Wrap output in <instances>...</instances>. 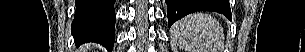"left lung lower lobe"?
Listing matches in <instances>:
<instances>
[{
  "instance_id": "obj_1",
  "label": "left lung lower lobe",
  "mask_w": 305,
  "mask_h": 52,
  "mask_svg": "<svg viewBox=\"0 0 305 52\" xmlns=\"http://www.w3.org/2000/svg\"><path fill=\"white\" fill-rule=\"evenodd\" d=\"M168 10V24L169 27L177 21V16L189 9L193 12L197 11H215L222 13L228 19H231V10L229 0L222 1V7L218 8L216 4H213L209 0H165ZM192 12V13H193Z\"/></svg>"
}]
</instances>
